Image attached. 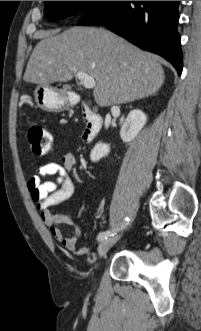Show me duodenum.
<instances>
[{"mask_svg":"<svg viewBox=\"0 0 201 331\" xmlns=\"http://www.w3.org/2000/svg\"><path fill=\"white\" fill-rule=\"evenodd\" d=\"M74 98L75 96L72 94L69 96L70 100H73ZM81 112L82 118L85 122L82 138L85 143H91L96 138L101 129L103 119L86 104L82 105Z\"/></svg>","mask_w":201,"mask_h":331,"instance_id":"duodenum-1","label":"duodenum"}]
</instances>
